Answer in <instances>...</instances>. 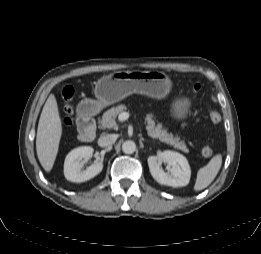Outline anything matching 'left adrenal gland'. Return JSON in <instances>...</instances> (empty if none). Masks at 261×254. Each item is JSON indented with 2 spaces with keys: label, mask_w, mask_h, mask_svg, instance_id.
<instances>
[{
  "label": "left adrenal gland",
  "mask_w": 261,
  "mask_h": 254,
  "mask_svg": "<svg viewBox=\"0 0 261 254\" xmlns=\"http://www.w3.org/2000/svg\"><path fill=\"white\" fill-rule=\"evenodd\" d=\"M142 140L144 141V138H142ZM147 142H150L149 140Z\"/></svg>",
  "instance_id": "obj_1"
}]
</instances>
